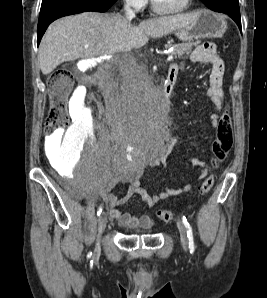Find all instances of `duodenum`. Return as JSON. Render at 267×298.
I'll return each mask as SVG.
<instances>
[{
  "instance_id": "obj_1",
  "label": "duodenum",
  "mask_w": 267,
  "mask_h": 298,
  "mask_svg": "<svg viewBox=\"0 0 267 298\" xmlns=\"http://www.w3.org/2000/svg\"><path fill=\"white\" fill-rule=\"evenodd\" d=\"M176 78H177V71L171 66L169 68L167 77H166L165 81L163 82L161 89L159 91V93H162V95H164V98H167V96L173 89V86L176 82Z\"/></svg>"
}]
</instances>
